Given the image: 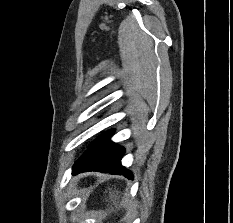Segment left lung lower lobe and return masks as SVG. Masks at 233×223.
Masks as SVG:
<instances>
[{"label": "left lung lower lobe", "mask_w": 233, "mask_h": 223, "mask_svg": "<svg viewBox=\"0 0 233 223\" xmlns=\"http://www.w3.org/2000/svg\"><path fill=\"white\" fill-rule=\"evenodd\" d=\"M114 130H108L97 137L76 161L73 166V175L86 171H100L103 173L124 175L133 179L130 171L122 167L120 161L124 148L109 141Z\"/></svg>", "instance_id": "0a47b994"}]
</instances>
